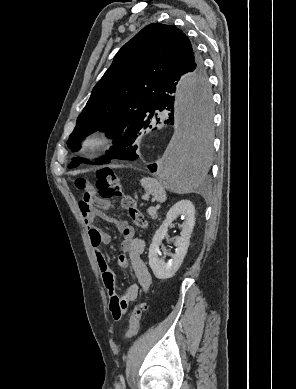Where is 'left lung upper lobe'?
Segmentation results:
<instances>
[{
  "label": "left lung upper lobe",
  "mask_w": 296,
  "mask_h": 389,
  "mask_svg": "<svg viewBox=\"0 0 296 389\" xmlns=\"http://www.w3.org/2000/svg\"><path fill=\"white\" fill-rule=\"evenodd\" d=\"M184 74L204 77L209 87L202 60L188 37L171 25H147L118 51L93 88L67 141L73 143L69 147L77 151L78 140L96 130L114 140L121 138L134 121L138 125L152 117L149 114L160 87L168 79ZM80 162L87 163L77 158L69 167Z\"/></svg>",
  "instance_id": "left-lung-upper-lobe-1"
}]
</instances>
